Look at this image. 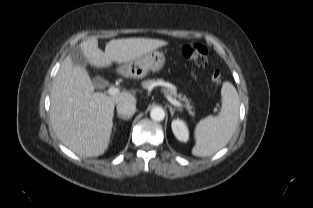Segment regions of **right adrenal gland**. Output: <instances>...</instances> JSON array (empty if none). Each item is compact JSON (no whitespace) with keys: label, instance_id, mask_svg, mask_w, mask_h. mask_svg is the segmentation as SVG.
I'll list each match as a JSON object with an SVG mask.
<instances>
[{"label":"right adrenal gland","instance_id":"right-adrenal-gland-1","mask_svg":"<svg viewBox=\"0 0 313 208\" xmlns=\"http://www.w3.org/2000/svg\"><path fill=\"white\" fill-rule=\"evenodd\" d=\"M118 118L122 119V120H129L131 119V116H122V115H117Z\"/></svg>","mask_w":313,"mask_h":208}]
</instances>
